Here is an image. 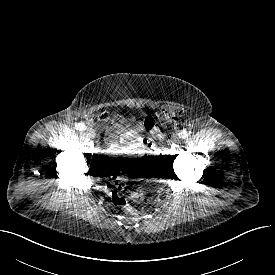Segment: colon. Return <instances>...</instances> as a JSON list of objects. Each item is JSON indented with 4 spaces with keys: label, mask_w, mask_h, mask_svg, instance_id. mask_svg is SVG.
<instances>
[{
    "label": "colon",
    "mask_w": 275,
    "mask_h": 275,
    "mask_svg": "<svg viewBox=\"0 0 275 275\" xmlns=\"http://www.w3.org/2000/svg\"><path fill=\"white\" fill-rule=\"evenodd\" d=\"M161 113L166 120L174 124L185 123L188 119L187 110L180 105H167L162 108ZM100 118H106V114H101ZM145 123L148 130L145 145L147 148L153 149L155 139L157 138L159 132L151 119L147 118ZM126 176L127 171L125 168L120 167L116 169L112 185L111 199L115 206L123 209L127 213H134V209L131 206L130 201L141 202L145 199L146 193L141 189L128 193Z\"/></svg>",
    "instance_id": "obj_1"
}]
</instances>
